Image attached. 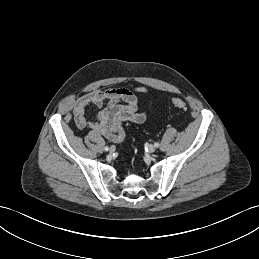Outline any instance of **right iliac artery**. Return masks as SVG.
Listing matches in <instances>:
<instances>
[{
    "mask_svg": "<svg viewBox=\"0 0 259 259\" xmlns=\"http://www.w3.org/2000/svg\"><path fill=\"white\" fill-rule=\"evenodd\" d=\"M104 150H105V151H108V150H109V147H108V146H106V147L104 148Z\"/></svg>",
    "mask_w": 259,
    "mask_h": 259,
    "instance_id": "right-iliac-artery-1",
    "label": "right iliac artery"
}]
</instances>
